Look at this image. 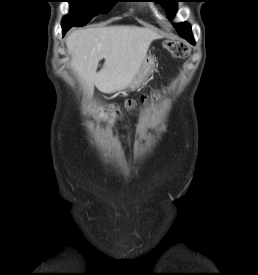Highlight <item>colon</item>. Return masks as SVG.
<instances>
[{
	"label": "colon",
	"mask_w": 258,
	"mask_h": 275,
	"mask_svg": "<svg viewBox=\"0 0 258 275\" xmlns=\"http://www.w3.org/2000/svg\"><path fill=\"white\" fill-rule=\"evenodd\" d=\"M164 48L167 50L173 57L175 58H185L190 53V47L182 42L176 40H166L164 42ZM148 100V96H143L141 98V102H145ZM137 104L135 100H129L126 102V107L131 108Z\"/></svg>",
	"instance_id": "1"
}]
</instances>
